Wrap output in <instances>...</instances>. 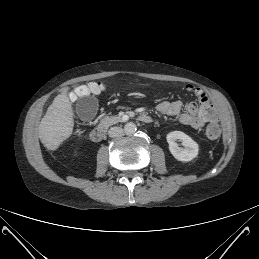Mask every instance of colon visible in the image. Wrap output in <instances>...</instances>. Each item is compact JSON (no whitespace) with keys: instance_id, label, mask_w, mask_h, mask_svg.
I'll use <instances>...</instances> for the list:
<instances>
[{"instance_id":"obj_1","label":"colon","mask_w":259,"mask_h":259,"mask_svg":"<svg viewBox=\"0 0 259 259\" xmlns=\"http://www.w3.org/2000/svg\"><path fill=\"white\" fill-rule=\"evenodd\" d=\"M104 90V85L102 82H91L88 84H81L75 86L71 92L72 96H87L90 93H100ZM193 94L197 98H201L203 102V110L205 112V116L210 122L206 129L205 135L208 140H216L219 138L221 134V128L218 123L215 122L220 116V111L217 107L211 106L210 102L208 101L206 95L202 88L197 87L194 89Z\"/></svg>"}]
</instances>
